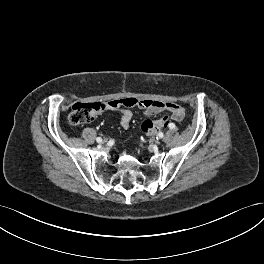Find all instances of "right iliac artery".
Wrapping results in <instances>:
<instances>
[{
    "label": "right iliac artery",
    "mask_w": 264,
    "mask_h": 264,
    "mask_svg": "<svg viewBox=\"0 0 264 264\" xmlns=\"http://www.w3.org/2000/svg\"><path fill=\"white\" fill-rule=\"evenodd\" d=\"M96 141H97L98 143H101L102 138H101V137H98V138H96Z\"/></svg>",
    "instance_id": "82829eb1"
}]
</instances>
